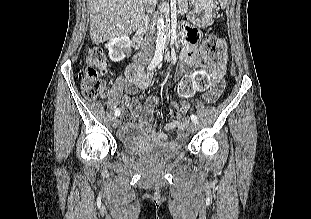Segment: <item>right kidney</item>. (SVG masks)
<instances>
[{"label": "right kidney", "instance_id": "obj_1", "mask_svg": "<svg viewBox=\"0 0 311 219\" xmlns=\"http://www.w3.org/2000/svg\"><path fill=\"white\" fill-rule=\"evenodd\" d=\"M131 41L128 36H120L111 39L106 48L109 51V58L113 62H120L130 50Z\"/></svg>", "mask_w": 311, "mask_h": 219}]
</instances>
